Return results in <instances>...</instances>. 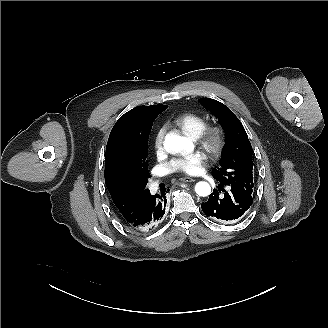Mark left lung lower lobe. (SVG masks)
Wrapping results in <instances>:
<instances>
[{
    "label": "left lung lower lobe",
    "instance_id": "0a47b994",
    "mask_svg": "<svg viewBox=\"0 0 328 328\" xmlns=\"http://www.w3.org/2000/svg\"><path fill=\"white\" fill-rule=\"evenodd\" d=\"M229 187L230 191L225 192L224 196H219L220 191L214 190L209 200L201 204L206 216L228 223L237 220L250 208L253 202L251 194L234 186Z\"/></svg>",
    "mask_w": 328,
    "mask_h": 328
}]
</instances>
